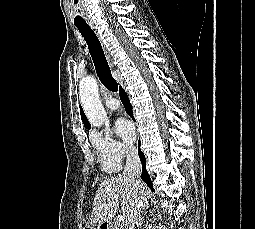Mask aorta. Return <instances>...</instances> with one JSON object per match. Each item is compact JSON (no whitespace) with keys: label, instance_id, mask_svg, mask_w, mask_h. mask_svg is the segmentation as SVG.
Masks as SVG:
<instances>
[{"label":"aorta","instance_id":"1","mask_svg":"<svg viewBox=\"0 0 255 229\" xmlns=\"http://www.w3.org/2000/svg\"><path fill=\"white\" fill-rule=\"evenodd\" d=\"M79 88L81 103L87 119L96 127L102 126L108 117L98 96L97 81L93 77H87L80 82Z\"/></svg>","mask_w":255,"mask_h":229}]
</instances>
